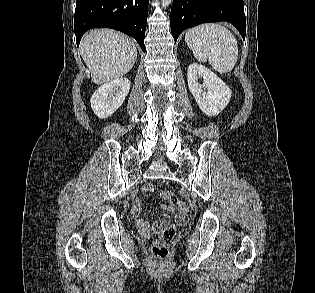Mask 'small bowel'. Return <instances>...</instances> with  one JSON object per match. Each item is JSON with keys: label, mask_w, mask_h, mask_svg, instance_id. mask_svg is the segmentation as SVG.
Masks as SVG:
<instances>
[{"label": "small bowel", "mask_w": 315, "mask_h": 293, "mask_svg": "<svg viewBox=\"0 0 315 293\" xmlns=\"http://www.w3.org/2000/svg\"><path fill=\"white\" fill-rule=\"evenodd\" d=\"M143 191L146 195H148L153 191V186L151 184H146L143 187ZM142 201H143L142 198H138L134 201L132 208H131V214H132L134 220L136 221V223L138 224V226L141 229L146 230L149 228V224L144 219L141 218V212L143 210ZM161 208L166 210L167 215L166 214L161 215L160 218L154 222L153 228L155 230L161 228L164 224L169 222V216L168 215H176V213H177L176 208H172V207H169V206L164 205V204L161 205ZM177 219L183 220L184 216L178 215Z\"/></svg>", "instance_id": "obj_1"}]
</instances>
